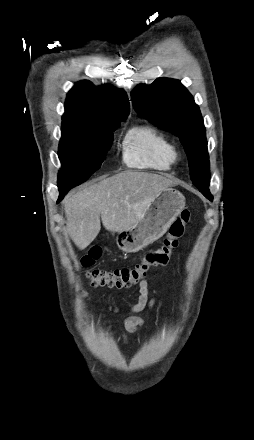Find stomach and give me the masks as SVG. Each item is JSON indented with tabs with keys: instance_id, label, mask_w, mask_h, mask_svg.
Masks as SVG:
<instances>
[{
	"instance_id": "1",
	"label": "stomach",
	"mask_w": 254,
	"mask_h": 440,
	"mask_svg": "<svg viewBox=\"0 0 254 440\" xmlns=\"http://www.w3.org/2000/svg\"><path fill=\"white\" fill-rule=\"evenodd\" d=\"M185 207V197L171 187L162 189L135 225L118 232L116 243L126 253L142 250L161 238Z\"/></svg>"
}]
</instances>
